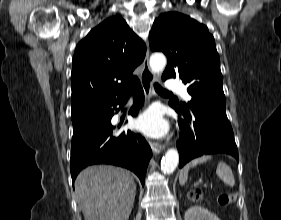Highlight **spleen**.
I'll return each instance as SVG.
<instances>
[{"label": "spleen", "mask_w": 281, "mask_h": 220, "mask_svg": "<svg viewBox=\"0 0 281 220\" xmlns=\"http://www.w3.org/2000/svg\"><path fill=\"white\" fill-rule=\"evenodd\" d=\"M212 156L210 155H203L199 158L191 160L187 163L183 169L180 171L179 182L180 184H185L188 179V171L191 167H195L197 164L206 163L210 160ZM217 176L228 186L233 187L235 184V179L231 168L225 163L220 162L216 169Z\"/></svg>", "instance_id": "spleen-1"}]
</instances>
